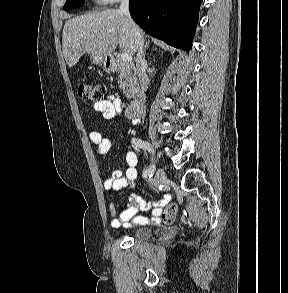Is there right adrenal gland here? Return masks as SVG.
<instances>
[{
    "label": "right adrenal gland",
    "instance_id": "obj_1",
    "mask_svg": "<svg viewBox=\"0 0 288 293\" xmlns=\"http://www.w3.org/2000/svg\"><path fill=\"white\" fill-rule=\"evenodd\" d=\"M148 47H149V42L146 43V45H145V50H146ZM154 50H156V49H154Z\"/></svg>",
    "mask_w": 288,
    "mask_h": 293
}]
</instances>
